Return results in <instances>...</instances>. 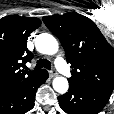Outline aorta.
Masks as SVG:
<instances>
[{"label":"aorta","mask_w":114,"mask_h":114,"mask_svg":"<svg viewBox=\"0 0 114 114\" xmlns=\"http://www.w3.org/2000/svg\"><path fill=\"white\" fill-rule=\"evenodd\" d=\"M35 46L38 52L47 55H53L58 51L59 45L55 37L48 33L39 34L35 38ZM69 87L68 80L65 77L58 76L53 80V88L60 94L67 92Z\"/></svg>","instance_id":"aorta-1"}]
</instances>
